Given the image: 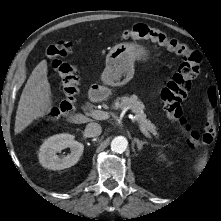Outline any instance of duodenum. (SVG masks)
<instances>
[{
    "label": "duodenum",
    "mask_w": 221,
    "mask_h": 221,
    "mask_svg": "<svg viewBox=\"0 0 221 221\" xmlns=\"http://www.w3.org/2000/svg\"><path fill=\"white\" fill-rule=\"evenodd\" d=\"M103 95L104 89L101 86H98L90 91L89 98L91 101H99Z\"/></svg>",
    "instance_id": "410a0bca"
}]
</instances>
